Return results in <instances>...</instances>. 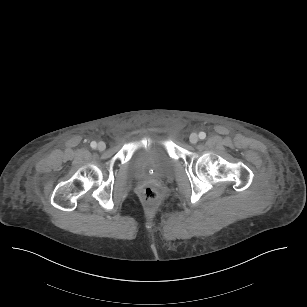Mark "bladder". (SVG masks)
Masks as SVG:
<instances>
[{"instance_id":"31cf9c89","label":"bladder","mask_w":307,"mask_h":307,"mask_svg":"<svg viewBox=\"0 0 307 307\" xmlns=\"http://www.w3.org/2000/svg\"><path fill=\"white\" fill-rule=\"evenodd\" d=\"M173 165L174 160L169 151L159 141L136 148L129 160L130 169L138 178L147 176L151 171L158 176H164L172 170Z\"/></svg>"}]
</instances>
